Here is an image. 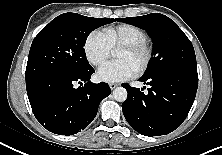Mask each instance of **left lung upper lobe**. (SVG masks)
<instances>
[{
  "instance_id": "left-lung-upper-lobe-1",
  "label": "left lung upper lobe",
  "mask_w": 222,
  "mask_h": 155,
  "mask_svg": "<svg viewBox=\"0 0 222 155\" xmlns=\"http://www.w3.org/2000/svg\"><path fill=\"white\" fill-rule=\"evenodd\" d=\"M118 21L144 29L153 41L152 57L144 75L165 71H182L197 75L193 45L173 20L159 13H151L120 18Z\"/></svg>"
}]
</instances>
